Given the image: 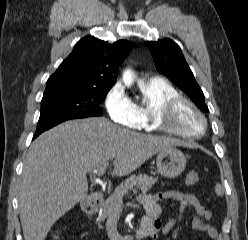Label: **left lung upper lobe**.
I'll list each match as a JSON object with an SVG mask.
<instances>
[{
	"label": "left lung upper lobe",
	"mask_w": 248,
	"mask_h": 240,
	"mask_svg": "<svg viewBox=\"0 0 248 240\" xmlns=\"http://www.w3.org/2000/svg\"><path fill=\"white\" fill-rule=\"evenodd\" d=\"M147 46L152 53L157 70L183 90L201 110L209 112L204 101V94L184 58L181 48L168 38L149 41Z\"/></svg>",
	"instance_id": "obj_1"
}]
</instances>
